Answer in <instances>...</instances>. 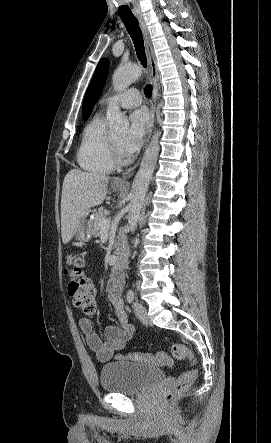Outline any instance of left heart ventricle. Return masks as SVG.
<instances>
[{
    "mask_svg": "<svg viewBox=\"0 0 271 443\" xmlns=\"http://www.w3.org/2000/svg\"><path fill=\"white\" fill-rule=\"evenodd\" d=\"M115 140L117 141V143L119 144V146H121V143L125 137V132H118L115 133L114 135Z\"/></svg>",
    "mask_w": 271,
    "mask_h": 443,
    "instance_id": "obj_1",
    "label": "left heart ventricle"
}]
</instances>
